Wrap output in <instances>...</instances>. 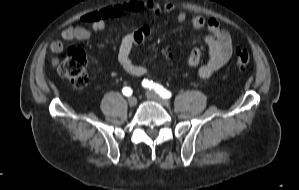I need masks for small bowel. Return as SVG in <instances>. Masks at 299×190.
<instances>
[{"label":"small bowel","mask_w":299,"mask_h":190,"mask_svg":"<svg viewBox=\"0 0 299 190\" xmlns=\"http://www.w3.org/2000/svg\"><path fill=\"white\" fill-rule=\"evenodd\" d=\"M148 12L153 15H159L161 12L171 14L175 11L172 3L160 6L152 0L148 1H129L119 5L104 7L85 13L81 20L86 26H72L66 28L61 34V40L52 42L50 50L53 54H58L64 50V42L72 40H86L94 32H100L105 28L106 21L123 16L127 13ZM176 19L181 23H188L194 29L207 30L204 37V43L208 48V59L199 67L198 73L201 78L207 79L215 72L221 69L231 58L233 53V42L231 34L222 28L214 18L205 19L201 15H187L184 11L176 12ZM151 37L149 26L144 25L125 35L121 41L118 61L122 68L132 76L141 77L147 73V68L135 64L131 58L132 52L142 42ZM202 58L201 50L198 47L193 48L187 59L189 67H197ZM57 63V60H54Z\"/></svg>","instance_id":"1"}]
</instances>
